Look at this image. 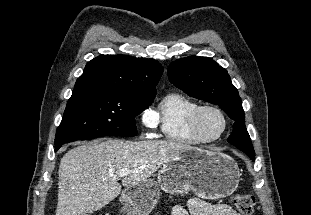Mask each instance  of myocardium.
Segmentation results:
<instances>
[{
    "instance_id": "obj_1",
    "label": "myocardium",
    "mask_w": 311,
    "mask_h": 215,
    "mask_svg": "<svg viewBox=\"0 0 311 215\" xmlns=\"http://www.w3.org/2000/svg\"><path fill=\"white\" fill-rule=\"evenodd\" d=\"M208 110L216 112L221 117L223 122L222 129L215 136L207 135L201 127V117L203 113ZM227 126H228V119L225 112L220 107L215 105H201L192 113L190 117V128L192 132L194 133L195 136H197L204 142H213L219 139L226 131Z\"/></svg>"
}]
</instances>
